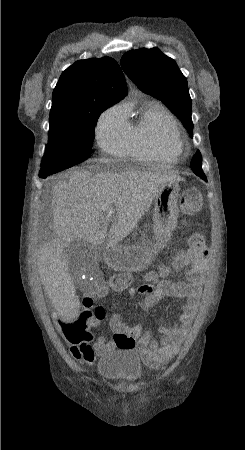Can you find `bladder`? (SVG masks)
I'll return each mask as SVG.
<instances>
[{"label":"bladder","mask_w":245,"mask_h":450,"mask_svg":"<svg viewBox=\"0 0 245 450\" xmlns=\"http://www.w3.org/2000/svg\"><path fill=\"white\" fill-rule=\"evenodd\" d=\"M100 376L112 383L131 385L142 377L138 357L130 348L112 352L98 362Z\"/></svg>","instance_id":"31cf9c89"}]
</instances>
